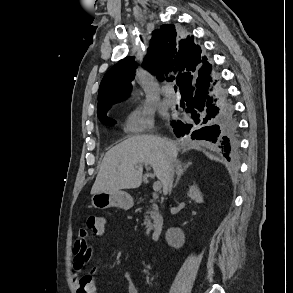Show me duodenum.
Wrapping results in <instances>:
<instances>
[{
    "mask_svg": "<svg viewBox=\"0 0 293 293\" xmlns=\"http://www.w3.org/2000/svg\"><path fill=\"white\" fill-rule=\"evenodd\" d=\"M165 220L160 211H156L153 216V224L151 237L153 241H157L163 231Z\"/></svg>",
    "mask_w": 293,
    "mask_h": 293,
    "instance_id": "obj_1",
    "label": "duodenum"
}]
</instances>
